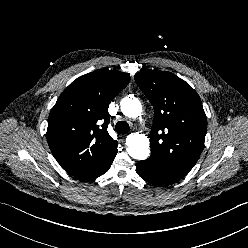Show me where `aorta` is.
<instances>
[{
    "instance_id": "1",
    "label": "aorta",
    "mask_w": 248,
    "mask_h": 248,
    "mask_svg": "<svg viewBox=\"0 0 248 248\" xmlns=\"http://www.w3.org/2000/svg\"><path fill=\"white\" fill-rule=\"evenodd\" d=\"M122 113L128 117H138L142 113V105L136 98L125 97L120 102ZM128 154L137 160H144L149 156V139L144 134L131 133L126 138Z\"/></svg>"
}]
</instances>
